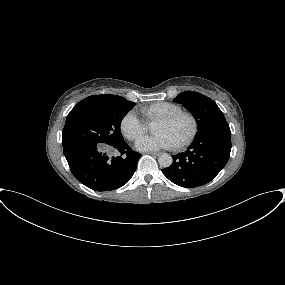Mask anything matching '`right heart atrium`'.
<instances>
[{
    "label": "right heart atrium",
    "mask_w": 285,
    "mask_h": 285,
    "mask_svg": "<svg viewBox=\"0 0 285 285\" xmlns=\"http://www.w3.org/2000/svg\"><path fill=\"white\" fill-rule=\"evenodd\" d=\"M147 129L146 122L134 110L129 111L121 120V130L126 138L134 140Z\"/></svg>",
    "instance_id": "obj_1"
}]
</instances>
